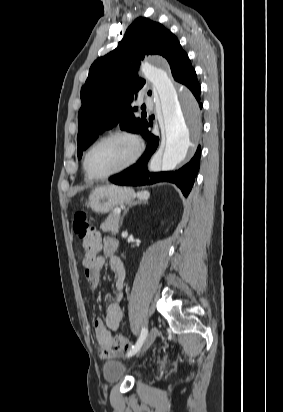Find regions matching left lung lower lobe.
Returning a JSON list of instances; mask_svg holds the SVG:
<instances>
[{
    "mask_svg": "<svg viewBox=\"0 0 283 412\" xmlns=\"http://www.w3.org/2000/svg\"><path fill=\"white\" fill-rule=\"evenodd\" d=\"M180 83L190 89L197 101L200 100L201 88L197 81L196 72L194 69L186 77H184ZM199 105L202 107L201 104ZM150 128L151 125L148 123V126L140 133L147 141V149L141 156L140 160L123 172L111 176L109 181L117 185L128 186H141L151 185L158 182H170L177 185L181 189L183 195L187 197L191 191L194 184V178L199 169L201 155L200 147H198L190 162L179 170L149 173L147 170V162L156 151L159 143V138L151 133Z\"/></svg>",
    "mask_w": 283,
    "mask_h": 412,
    "instance_id": "1",
    "label": "left lung lower lobe"
}]
</instances>
